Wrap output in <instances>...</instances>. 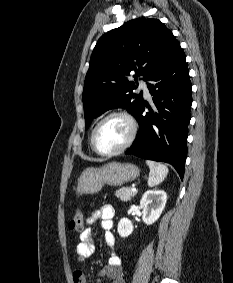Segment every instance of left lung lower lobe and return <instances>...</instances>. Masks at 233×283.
I'll list each match as a JSON object with an SVG mask.
<instances>
[{
  "label": "left lung lower lobe",
  "mask_w": 233,
  "mask_h": 283,
  "mask_svg": "<svg viewBox=\"0 0 233 283\" xmlns=\"http://www.w3.org/2000/svg\"><path fill=\"white\" fill-rule=\"evenodd\" d=\"M148 80L152 81L148 88L154 105L142 102L135 115L139 133L126 154L167 162L183 179L192 86L180 43L170 50ZM145 107L149 112L144 115Z\"/></svg>",
  "instance_id": "obj_1"
}]
</instances>
